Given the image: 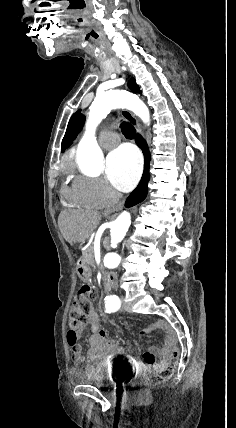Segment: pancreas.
<instances>
[{"mask_svg":"<svg viewBox=\"0 0 236 428\" xmlns=\"http://www.w3.org/2000/svg\"><path fill=\"white\" fill-rule=\"evenodd\" d=\"M82 258H83L84 262H86V264H91V266H94V244H93V242H92V244H90V246H88V248H86V250H84Z\"/></svg>","mask_w":236,"mask_h":428,"instance_id":"1","label":"pancreas"}]
</instances>
